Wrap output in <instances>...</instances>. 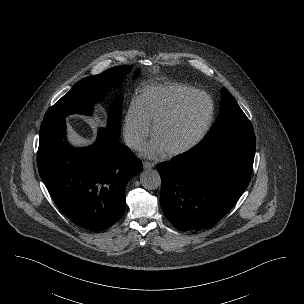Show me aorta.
I'll return each instance as SVG.
<instances>
[{"label":"aorta","mask_w":304,"mask_h":304,"mask_svg":"<svg viewBox=\"0 0 304 304\" xmlns=\"http://www.w3.org/2000/svg\"><path fill=\"white\" fill-rule=\"evenodd\" d=\"M140 182L145 189L154 190L161 185V178L156 170L147 169L141 173Z\"/></svg>","instance_id":"obj_1"}]
</instances>
